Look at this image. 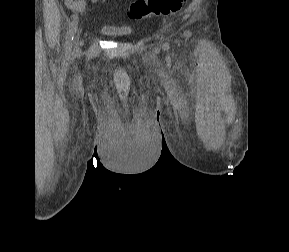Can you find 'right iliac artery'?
Segmentation results:
<instances>
[{"mask_svg": "<svg viewBox=\"0 0 289 252\" xmlns=\"http://www.w3.org/2000/svg\"><path fill=\"white\" fill-rule=\"evenodd\" d=\"M77 25H78V19L74 17L67 31L66 42H65L66 52L70 51L72 48V43L74 39V34L77 29Z\"/></svg>", "mask_w": 289, "mask_h": 252, "instance_id": "1", "label": "right iliac artery"}]
</instances>
